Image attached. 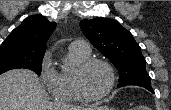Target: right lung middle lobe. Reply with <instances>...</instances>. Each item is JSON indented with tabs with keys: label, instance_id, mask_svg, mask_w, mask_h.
<instances>
[{
	"label": "right lung middle lobe",
	"instance_id": "dd1d6c3e",
	"mask_svg": "<svg viewBox=\"0 0 171 110\" xmlns=\"http://www.w3.org/2000/svg\"><path fill=\"white\" fill-rule=\"evenodd\" d=\"M44 54L25 51L15 46H1L0 74L10 69L26 68L41 74Z\"/></svg>",
	"mask_w": 171,
	"mask_h": 110
}]
</instances>
